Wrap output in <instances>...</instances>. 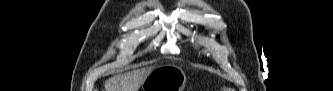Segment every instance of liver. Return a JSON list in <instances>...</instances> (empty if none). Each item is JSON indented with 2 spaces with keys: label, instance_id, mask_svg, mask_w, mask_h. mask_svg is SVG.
Returning a JSON list of instances; mask_svg holds the SVG:
<instances>
[{
  "label": "liver",
  "instance_id": "liver-1",
  "mask_svg": "<svg viewBox=\"0 0 333 91\" xmlns=\"http://www.w3.org/2000/svg\"><path fill=\"white\" fill-rule=\"evenodd\" d=\"M154 67H146L115 75L105 81V91H138Z\"/></svg>",
  "mask_w": 333,
  "mask_h": 91
}]
</instances>
